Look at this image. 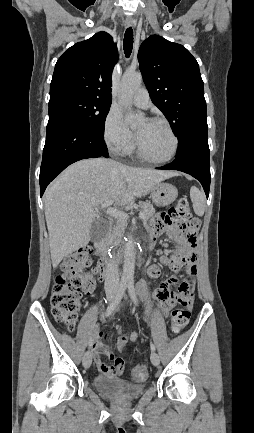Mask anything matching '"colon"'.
<instances>
[{
	"label": "colon",
	"mask_w": 254,
	"mask_h": 433,
	"mask_svg": "<svg viewBox=\"0 0 254 433\" xmlns=\"http://www.w3.org/2000/svg\"><path fill=\"white\" fill-rule=\"evenodd\" d=\"M160 220L168 226H173L184 232L188 241L196 244V234L200 221L191 211L187 199H180L168 211L159 215ZM91 264V251L88 248L77 250L68 255L61 263V273L57 275L51 296L52 314L56 321L68 330H73L78 318L83 294H90L95 289L92 274L85 270ZM181 308H174L171 312V330L181 332L188 324L190 311L188 307L192 300L178 297ZM149 373V366L141 362L131 372V379L143 381Z\"/></svg>",
	"instance_id": "5ec220e1"
}]
</instances>
